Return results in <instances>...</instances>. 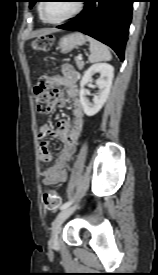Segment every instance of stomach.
Returning a JSON list of instances; mask_svg holds the SVG:
<instances>
[{"label":"stomach","mask_w":158,"mask_h":275,"mask_svg":"<svg viewBox=\"0 0 158 275\" xmlns=\"http://www.w3.org/2000/svg\"><path fill=\"white\" fill-rule=\"evenodd\" d=\"M86 39L81 33L75 32L62 37L59 41V48L62 53H68L77 46L83 45Z\"/></svg>","instance_id":"stomach-1"}]
</instances>
